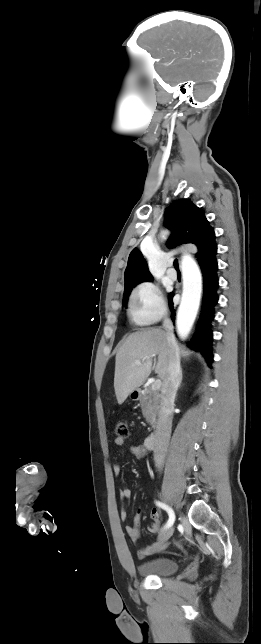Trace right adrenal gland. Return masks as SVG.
<instances>
[{"instance_id": "right-adrenal-gland-1", "label": "right adrenal gland", "mask_w": 261, "mask_h": 644, "mask_svg": "<svg viewBox=\"0 0 261 644\" xmlns=\"http://www.w3.org/2000/svg\"><path fill=\"white\" fill-rule=\"evenodd\" d=\"M181 384H182V370H181V373H180L178 388H180Z\"/></svg>"}]
</instances>
